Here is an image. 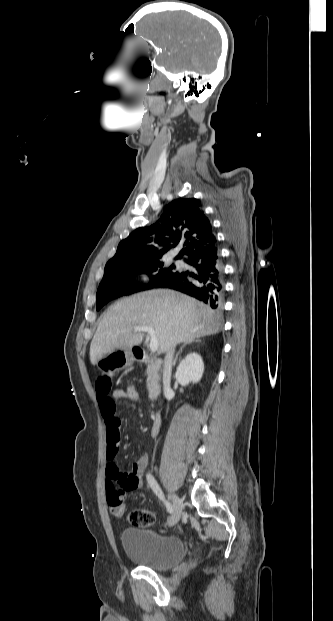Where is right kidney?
Masks as SVG:
<instances>
[{"mask_svg": "<svg viewBox=\"0 0 333 621\" xmlns=\"http://www.w3.org/2000/svg\"><path fill=\"white\" fill-rule=\"evenodd\" d=\"M204 372V363L201 356L195 352L188 354L179 364L175 378L182 386L190 382L198 383Z\"/></svg>", "mask_w": 333, "mask_h": 621, "instance_id": "right-kidney-1", "label": "right kidney"}]
</instances>
